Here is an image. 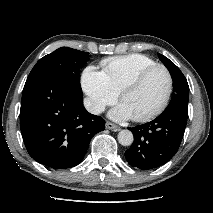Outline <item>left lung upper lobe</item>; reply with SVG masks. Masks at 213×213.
Here are the masks:
<instances>
[{
    "instance_id": "left-lung-upper-lobe-1",
    "label": "left lung upper lobe",
    "mask_w": 213,
    "mask_h": 213,
    "mask_svg": "<svg viewBox=\"0 0 213 213\" xmlns=\"http://www.w3.org/2000/svg\"><path fill=\"white\" fill-rule=\"evenodd\" d=\"M159 58L170 71L174 82L172 98L167 107L180 106L188 109L189 86L185 76L170 59L162 54H159Z\"/></svg>"
}]
</instances>
